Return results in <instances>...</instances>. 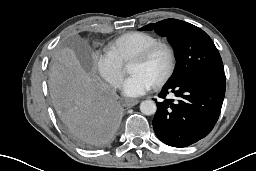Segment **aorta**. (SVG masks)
<instances>
[{
    "label": "aorta",
    "mask_w": 256,
    "mask_h": 171,
    "mask_svg": "<svg viewBox=\"0 0 256 171\" xmlns=\"http://www.w3.org/2000/svg\"><path fill=\"white\" fill-rule=\"evenodd\" d=\"M157 110L156 104L154 101L152 100H145L142 101L140 104V111L144 114V115H153L155 114Z\"/></svg>",
    "instance_id": "obj_1"
}]
</instances>
